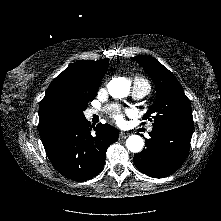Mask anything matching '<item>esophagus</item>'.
<instances>
[{"mask_svg": "<svg viewBox=\"0 0 221 221\" xmlns=\"http://www.w3.org/2000/svg\"><path fill=\"white\" fill-rule=\"evenodd\" d=\"M129 136V133L127 132H120V138H126Z\"/></svg>", "mask_w": 221, "mask_h": 221, "instance_id": "esophagus-1", "label": "esophagus"}]
</instances>
